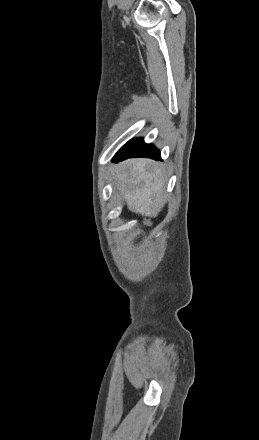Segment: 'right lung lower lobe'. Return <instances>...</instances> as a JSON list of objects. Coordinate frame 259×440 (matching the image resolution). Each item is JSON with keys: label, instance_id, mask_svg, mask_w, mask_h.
Instances as JSON below:
<instances>
[{"label": "right lung lower lobe", "instance_id": "98d812e1", "mask_svg": "<svg viewBox=\"0 0 259 440\" xmlns=\"http://www.w3.org/2000/svg\"><path fill=\"white\" fill-rule=\"evenodd\" d=\"M131 157H148L161 160L159 150L151 144H145L142 138L134 139L126 143L114 156V162H119Z\"/></svg>", "mask_w": 259, "mask_h": 440}]
</instances>
